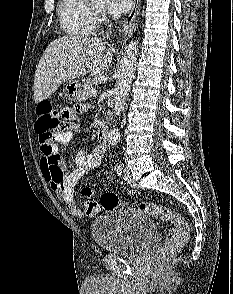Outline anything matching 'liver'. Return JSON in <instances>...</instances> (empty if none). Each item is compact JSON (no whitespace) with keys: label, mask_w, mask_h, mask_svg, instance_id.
Masks as SVG:
<instances>
[{"label":"liver","mask_w":233,"mask_h":294,"mask_svg":"<svg viewBox=\"0 0 233 294\" xmlns=\"http://www.w3.org/2000/svg\"><path fill=\"white\" fill-rule=\"evenodd\" d=\"M115 49L98 38L65 36L52 41L44 51L34 79V100L49 98L65 81L106 71Z\"/></svg>","instance_id":"1"}]
</instances>
